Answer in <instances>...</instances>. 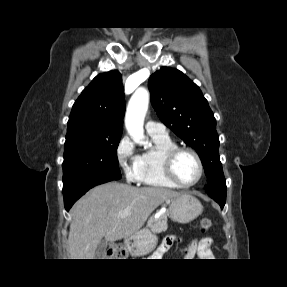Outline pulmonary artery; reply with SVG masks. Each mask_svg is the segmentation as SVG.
<instances>
[{
  "mask_svg": "<svg viewBox=\"0 0 287 287\" xmlns=\"http://www.w3.org/2000/svg\"><path fill=\"white\" fill-rule=\"evenodd\" d=\"M146 131L149 135L166 137L168 136L167 128L164 124L154 120H148L145 125Z\"/></svg>",
  "mask_w": 287,
  "mask_h": 287,
  "instance_id": "pulmonary-artery-1",
  "label": "pulmonary artery"
}]
</instances>
